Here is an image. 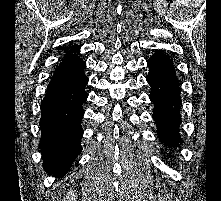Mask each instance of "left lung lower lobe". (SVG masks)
<instances>
[{
  "label": "left lung lower lobe",
  "mask_w": 221,
  "mask_h": 201,
  "mask_svg": "<svg viewBox=\"0 0 221 201\" xmlns=\"http://www.w3.org/2000/svg\"><path fill=\"white\" fill-rule=\"evenodd\" d=\"M149 74L146 77L151 86L150 100L155 106L153 119L157 134L165 146L175 147L182 139L178 127L180 115V87L173 61L165 55L155 53L147 60Z\"/></svg>",
  "instance_id": "left-lung-lower-lobe-1"
}]
</instances>
